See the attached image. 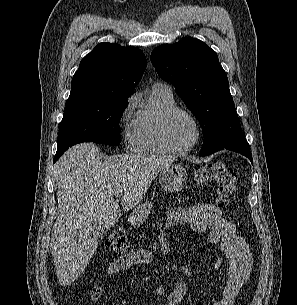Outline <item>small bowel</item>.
I'll list each match as a JSON object with an SVG mask.
<instances>
[{
    "instance_id": "c3829d8e",
    "label": "small bowel",
    "mask_w": 297,
    "mask_h": 305,
    "mask_svg": "<svg viewBox=\"0 0 297 305\" xmlns=\"http://www.w3.org/2000/svg\"><path fill=\"white\" fill-rule=\"evenodd\" d=\"M186 225L195 232L210 230L207 243L219 244L223 257L215 260L217 269L227 266L225 279L220 287V298L212 305H234L240 288L248 280L253 266V257L246 242L237 235L234 224L224 218L221 211L212 204L198 203L192 207H178L168 211L165 227ZM159 248L163 254H169L172 246L164 232L159 235ZM152 254L144 249L133 250L110 264L106 271L107 278L128 270L135 265L152 263ZM153 293L162 297L167 295L166 305H180L187 293L186 284L177 281L173 290L167 294L163 287H155ZM104 294V288L93 286L90 298L92 302L99 301Z\"/></svg>"
}]
</instances>
